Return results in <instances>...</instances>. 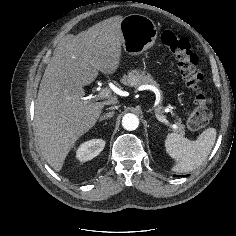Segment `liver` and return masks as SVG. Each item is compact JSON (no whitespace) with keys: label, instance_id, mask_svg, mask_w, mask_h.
<instances>
[{"label":"liver","instance_id":"6515ba94","mask_svg":"<svg viewBox=\"0 0 236 236\" xmlns=\"http://www.w3.org/2000/svg\"><path fill=\"white\" fill-rule=\"evenodd\" d=\"M122 16L103 20L78 35L68 34L58 43L40 83L35 103L39 148L48 164L59 172L75 145L97 122L106 104L85 99L84 86L98 72L113 74L120 65Z\"/></svg>","mask_w":236,"mask_h":236}]
</instances>
